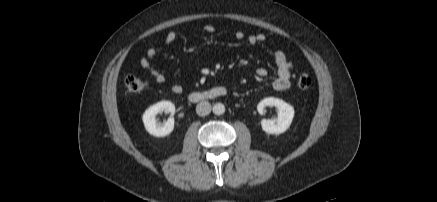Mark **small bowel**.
Segmentation results:
<instances>
[{"instance_id":"small-bowel-1","label":"small bowel","mask_w":437,"mask_h":202,"mask_svg":"<svg viewBox=\"0 0 437 202\" xmlns=\"http://www.w3.org/2000/svg\"><path fill=\"white\" fill-rule=\"evenodd\" d=\"M203 29L207 33L215 32V27L212 25H206L204 26ZM234 37L237 40H243L245 38V34L242 31H236L234 33ZM176 39H177V32L175 30H171L166 34L164 38V44L166 46H169L173 44ZM265 41H266V36L262 33L252 34L247 37V42L252 46L262 45L263 43H265ZM157 54H158V48L156 46L149 47L145 55L140 59V66L144 70H146L158 84H162L165 82V76L161 71L155 68L152 64V61L155 59ZM273 55H274L275 63L277 65V72H276V77L273 81V87L277 91H286L290 88V78L293 69V63L291 60L288 59L285 53L281 50H275ZM256 74L259 77H265L267 76L268 71L265 68H258L256 70ZM171 90L172 92L178 94L182 92V87L179 84H173L171 86Z\"/></svg>"}]
</instances>
